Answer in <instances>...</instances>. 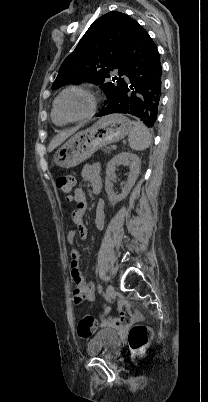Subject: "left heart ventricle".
Returning <instances> with one entry per match:
<instances>
[{
    "label": "left heart ventricle",
    "mask_w": 208,
    "mask_h": 402,
    "mask_svg": "<svg viewBox=\"0 0 208 402\" xmlns=\"http://www.w3.org/2000/svg\"><path fill=\"white\" fill-rule=\"evenodd\" d=\"M91 95L72 90L66 92L58 101L59 111L68 118H76L86 114L92 107Z\"/></svg>",
    "instance_id": "b2bd125f"
}]
</instances>
